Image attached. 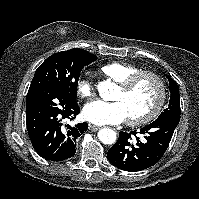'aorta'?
I'll return each instance as SVG.
<instances>
[{
	"mask_svg": "<svg viewBox=\"0 0 199 199\" xmlns=\"http://www.w3.org/2000/svg\"><path fill=\"white\" fill-rule=\"evenodd\" d=\"M114 84L110 81H103L98 84V92L101 98L108 100ZM98 138L103 144H113L116 141V133L112 129L103 128L98 132Z\"/></svg>",
	"mask_w": 199,
	"mask_h": 199,
	"instance_id": "1",
	"label": "aorta"
}]
</instances>
